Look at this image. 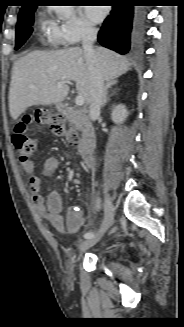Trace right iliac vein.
<instances>
[{
	"label": "right iliac vein",
	"mask_w": 184,
	"mask_h": 327,
	"mask_svg": "<svg viewBox=\"0 0 184 327\" xmlns=\"http://www.w3.org/2000/svg\"><path fill=\"white\" fill-rule=\"evenodd\" d=\"M115 207L113 203L108 199L105 198V214L102 225L97 233L96 236L91 237L83 241L80 245V252H84L88 248L94 246L101 238V236L106 232V230L112 224L114 219Z\"/></svg>",
	"instance_id": "obj_1"
}]
</instances>
